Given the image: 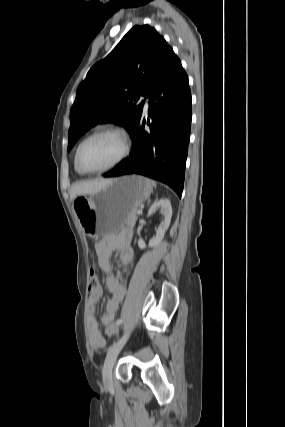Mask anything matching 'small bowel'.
<instances>
[{"mask_svg": "<svg viewBox=\"0 0 285 427\" xmlns=\"http://www.w3.org/2000/svg\"><path fill=\"white\" fill-rule=\"evenodd\" d=\"M115 251H119L121 263L126 270L127 266L134 259V251L130 246V233L124 232L119 236H110L102 238L95 242V252L98 259L99 267L106 273V288L110 293V298L107 301L105 311L101 316V323L108 326L113 323L118 311L120 302L125 295V285L117 277L110 274L112 265L111 257ZM103 295V287L101 284L90 290L88 304L89 310L94 315L95 308L100 298ZM90 342L94 350L102 349L105 344V338L100 332L97 323L94 321L90 329Z\"/></svg>", "mask_w": 285, "mask_h": 427, "instance_id": "c3829d8e", "label": "small bowel"}]
</instances>
